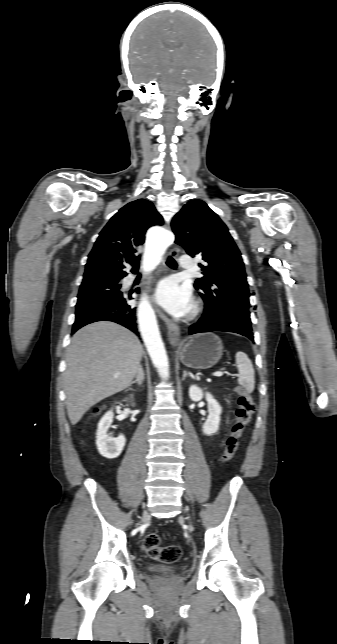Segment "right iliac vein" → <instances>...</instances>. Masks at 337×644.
Here are the masks:
<instances>
[{"instance_id":"63e3f726","label":"right iliac vein","mask_w":337,"mask_h":644,"mask_svg":"<svg viewBox=\"0 0 337 644\" xmlns=\"http://www.w3.org/2000/svg\"><path fill=\"white\" fill-rule=\"evenodd\" d=\"M144 514H145V515H148V513H147V512H145Z\"/></svg>"}]
</instances>
